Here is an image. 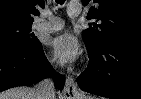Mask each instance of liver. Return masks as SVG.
Segmentation results:
<instances>
[{"label":"liver","mask_w":141,"mask_h":99,"mask_svg":"<svg viewBox=\"0 0 141 99\" xmlns=\"http://www.w3.org/2000/svg\"><path fill=\"white\" fill-rule=\"evenodd\" d=\"M34 88L20 86L0 93V99H36Z\"/></svg>","instance_id":"1"}]
</instances>
